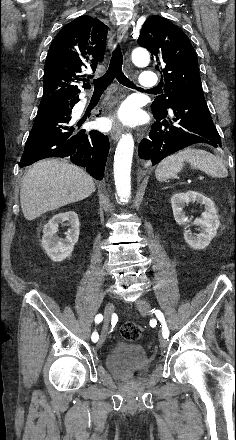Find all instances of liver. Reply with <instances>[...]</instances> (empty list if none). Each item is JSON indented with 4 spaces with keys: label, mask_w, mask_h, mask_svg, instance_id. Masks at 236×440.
Segmentation results:
<instances>
[{
    "label": "liver",
    "mask_w": 236,
    "mask_h": 440,
    "mask_svg": "<svg viewBox=\"0 0 236 440\" xmlns=\"http://www.w3.org/2000/svg\"><path fill=\"white\" fill-rule=\"evenodd\" d=\"M95 190L92 177L82 169L58 160L33 165L23 178L20 204L26 220L89 197Z\"/></svg>",
    "instance_id": "obj_1"
}]
</instances>
